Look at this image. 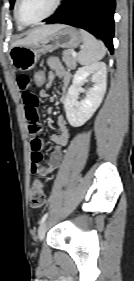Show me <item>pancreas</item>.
Listing matches in <instances>:
<instances>
[{"instance_id": "obj_1", "label": "pancreas", "mask_w": 134, "mask_h": 281, "mask_svg": "<svg viewBox=\"0 0 134 281\" xmlns=\"http://www.w3.org/2000/svg\"><path fill=\"white\" fill-rule=\"evenodd\" d=\"M62 60L70 69H75L77 66V58L72 56V50H65L63 52Z\"/></svg>"}]
</instances>
